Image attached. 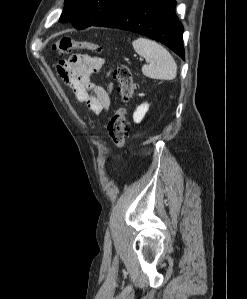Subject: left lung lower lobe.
I'll use <instances>...</instances> for the list:
<instances>
[{
    "mask_svg": "<svg viewBox=\"0 0 247 299\" xmlns=\"http://www.w3.org/2000/svg\"><path fill=\"white\" fill-rule=\"evenodd\" d=\"M175 0H122L91 26L118 28L155 39L182 59L183 25L175 14Z\"/></svg>",
    "mask_w": 247,
    "mask_h": 299,
    "instance_id": "1",
    "label": "left lung lower lobe"
}]
</instances>
